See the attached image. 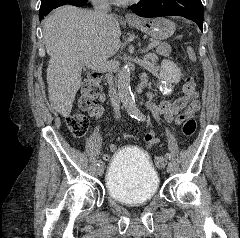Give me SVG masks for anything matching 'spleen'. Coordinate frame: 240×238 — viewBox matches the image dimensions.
<instances>
[{
    "mask_svg": "<svg viewBox=\"0 0 240 238\" xmlns=\"http://www.w3.org/2000/svg\"><path fill=\"white\" fill-rule=\"evenodd\" d=\"M187 53H188V56L190 58V60L192 61H196V56H195V52L194 50L192 49V47H187Z\"/></svg>",
    "mask_w": 240,
    "mask_h": 238,
    "instance_id": "3e777b00",
    "label": "spleen"
}]
</instances>
